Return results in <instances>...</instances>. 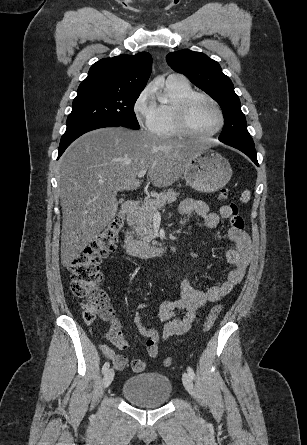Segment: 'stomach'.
I'll list each match as a JSON object with an SVG mask.
<instances>
[{
  "mask_svg": "<svg viewBox=\"0 0 307 445\" xmlns=\"http://www.w3.org/2000/svg\"><path fill=\"white\" fill-rule=\"evenodd\" d=\"M231 176L230 162L211 148H200L184 170L188 186L198 192H216L226 186Z\"/></svg>",
  "mask_w": 307,
  "mask_h": 445,
  "instance_id": "1",
  "label": "stomach"
}]
</instances>
